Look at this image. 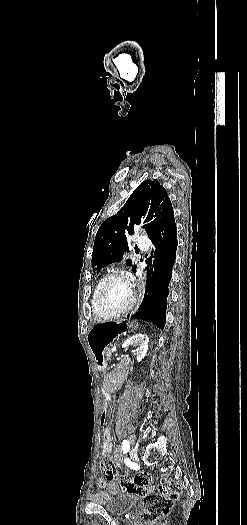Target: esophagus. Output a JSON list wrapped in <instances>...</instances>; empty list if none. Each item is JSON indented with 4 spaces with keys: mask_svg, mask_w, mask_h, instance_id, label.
Returning <instances> with one entry per match:
<instances>
[{
    "mask_svg": "<svg viewBox=\"0 0 247 525\" xmlns=\"http://www.w3.org/2000/svg\"><path fill=\"white\" fill-rule=\"evenodd\" d=\"M140 282L141 285L139 287V293H138V300H137V305L135 307V310L133 313H135L138 308L140 307L141 303H142V300H143V297H144V292H145V280H144V276H141V279H140Z\"/></svg>",
    "mask_w": 247,
    "mask_h": 525,
    "instance_id": "obj_1",
    "label": "esophagus"
}]
</instances>
